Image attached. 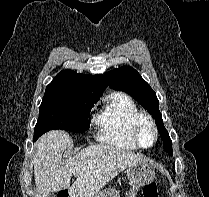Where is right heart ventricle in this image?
I'll use <instances>...</instances> for the list:
<instances>
[{"label": "right heart ventricle", "instance_id": "1", "mask_svg": "<svg viewBox=\"0 0 209 197\" xmlns=\"http://www.w3.org/2000/svg\"><path fill=\"white\" fill-rule=\"evenodd\" d=\"M138 112L139 109L130 96L120 92L111 94L93 119L99 128V139L126 150L137 149L131 135V123Z\"/></svg>", "mask_w": 209, "mask_h": 197}]
</instances>
